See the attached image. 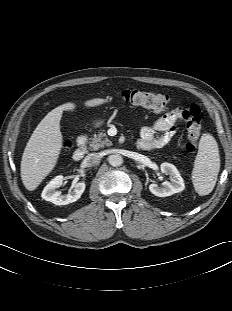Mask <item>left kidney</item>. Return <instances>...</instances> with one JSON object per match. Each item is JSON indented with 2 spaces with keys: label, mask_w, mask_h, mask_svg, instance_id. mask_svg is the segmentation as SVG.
Returning <instances> with one entry per match:
<instances>
[{
  "label": "left kidney",
  "mask_w": 232,
  "mask_h": 311,
  "mask_svg": "<svg viewBox=\"0 0 232 311\" xmlns=\"http://www.w3.org/2000/svg\"><path fill=\"white\" fill-rule=\"evenodd\" d=\"M160 167L162 173L170 176V182L165 181L162 188L157 184H150V192L158 197H166L183 191L185 188L184 180L177 168L167 162L162 163Z\"/></svg>",
  "instance_id": "5707ae66"
}]
</instances>
